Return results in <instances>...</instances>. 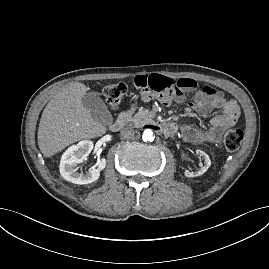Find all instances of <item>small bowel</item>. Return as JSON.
Here are the masks:
<instances>
[{"instance_id":"obj_1","label":"small bowel","mask_w":269,"mask_h":269,"mask_svg":"<svg viewBox=\"0 0 269 269\" xmlns=\"http://www.w3.org/2000/svg\"><path fill=\"white\" fill-rule=\"evenodd\" d=\"M134 82L135 88L141 90L144 100L149 101L156 98L166 105L173 104L175 99L180 103L186 102V94L199 87L198 82L194 79L180 78L176 80L162 74L137 76ZM187 104L200 114H208L214 109H221V114L211 119L208 128L189 125L180 128L182 138L189 143H217L223 132L233 126L240 116L237 103L226 99L220 91L210 86H202ZM171 124L174 126V132L176 125L172 122Z\"/></svg>"}]
</instances>
